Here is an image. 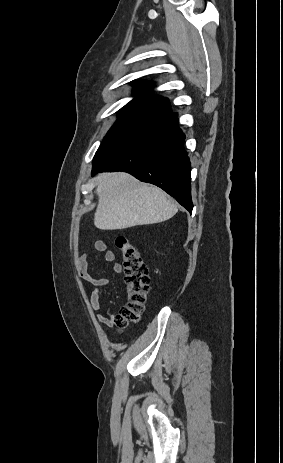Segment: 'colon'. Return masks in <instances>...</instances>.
Instances as JSON below:
<instances>
[{"label": "colon", "instance_id": "obj_1", "mask_svg": "<svg viewBox=\"0 0 283 463\" xmlns=\"http://www.w3.org/2000/svg\"><path fill=\"white\" fill-rule=\"evenodd\" d=\"M115 244L122 256L127 297L115 317V324L125 328L142 317L148 302L150 278L137 247L127 237L117 235Z\"/></svg>", "mask_w": 283, "mask_h": 463}]
</instances>
